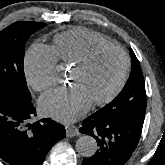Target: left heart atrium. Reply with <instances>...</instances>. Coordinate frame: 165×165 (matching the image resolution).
I'll list each match as a JSON object with an SVG mask.
<instances>
[{
    "label": "left heart atrium",
    "mask_w": 165,
    "mask_h": 165,
    "mask_svg": "<svg viewBox=\"0 0 165 165\" xmlns=\"http://www.w3.org/2000/svg\"><path fill=\"white\" fill-rule=\"evenodd\" d=\"M91 101L78 88H56L45 93L39 101L42 112L60 122H72L84 114Z\"/></svg>",
    "instance_id": "1"
}]
</instances>
